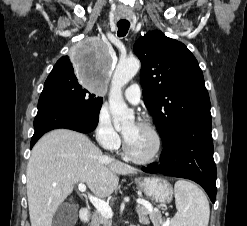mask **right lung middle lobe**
I'll use <instances>...</instances> for the list:
<instances>
[{"label": "right lung middle lobe", "mask_w": 247, "mask_h": 226, "mask_svg": "<svg viewBox=\"0 0 247 226\" xmlns=\"http://www.w3.org/2000/svg\"><path fill=\"white\" fill-rule=\"evenodd\" d=\"M72 62L68 60L53 67L45 81L43 92L55 93L79 108L99 115L103 103L102 97L94 94L90 89H82V86H79L76 72L72 70Z\"/></svg>", "instance_id": "1"}]
</instances>
